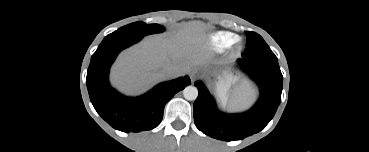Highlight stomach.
<instances>
[{"instance_id":"0dacf381","label":"stomach","mask_w":369,"mask_h":152,"mask_svg":"<svg viewBox=\"0 0 369 152\" xmlns=\"http://www.w3.org/2000/svg\"><path fill=\"white\" fill-rule=\"evenodd\" d=\"M233 80L231 75H225L224 79H221L217 83V95L223 104H225L227 100L228 90Z\"/></svg>"}]
</instances>
